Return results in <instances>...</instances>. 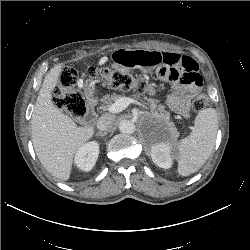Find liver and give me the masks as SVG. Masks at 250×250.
I'll return each mask as SVG.
<instances>
[{"instance_id":"6515ba94","label":"liver","mask_w":250,"mask_h":250,"mask_svg":"<svg viewBox=\"0 0 250 250\" xmlns=\"http://www.w3.org/2000/svg\"><path fill=\"white\" fill-rule=\"evenodd\" d=\"M62 65L45 76L31 118L34 150L44 168L55 178L70 177L73 157L94 134L91 125L77 126L52 103L51 92L59 82Z\"/></svg>"}]
</instances>
